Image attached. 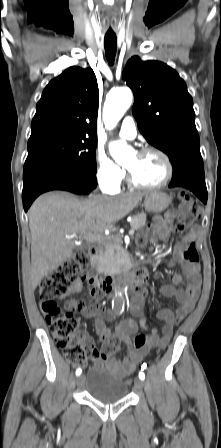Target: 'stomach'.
I'll return each instance as SVG.
<instances>
[{
	"label": "stomach",
	"instance_id": "0dacf381",
	"mask_svg": "<svg viewBox=\"0 0 221 448\" xmlns=\"http://www.w3.org/2000/svg\"><path fill=\"white\" fill-rule=\"evenodd\" d=\"M171 203V197L163 192H150L144 196V207L148 212L161 213Z\"/></svg>",
	"mask_w": 221,
	"mask_h": 448
}]
</instances>
